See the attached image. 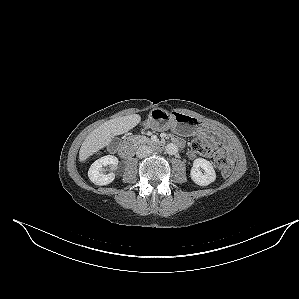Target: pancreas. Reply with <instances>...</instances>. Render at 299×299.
<instances>
[{
    "label": "pancreas",
    "mask_w": 299,
    "mask_h": 299,
    "mask_svg": "<svg viewBox=\"0 0 299 299\" xmlns=\"http://www.w3.org/2000/svg\"><path fill=\"white\" fill-rule=\"evenodd\" d=\"M131 140L135 144H142V143H148L149 142V138H147L145 136H141V135H135V136L131 137Z\"/></svg>",
    "instance_id": "pancreas-1"
}]
</instances>
